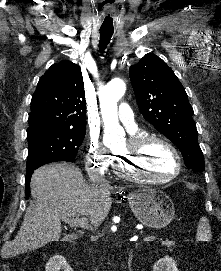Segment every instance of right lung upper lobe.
Returning <instances> with one entry per match:
<instances>
[{"label": "right lung upper lobe", "instance_id": "obj_1", "mask_svg": "<svg viewBox=\"0 0 221 271\" xmlns=\"http://www.w3.org/2000/svg\"><path fill=\"white\" fill-rule=\"evenodd\" d=\"M86 103L80 67L64 60L40 78L31 100L29 128L85 130Z\"/></svg>", "mask_w": 221, "mask_h": 271}]
</instances>
